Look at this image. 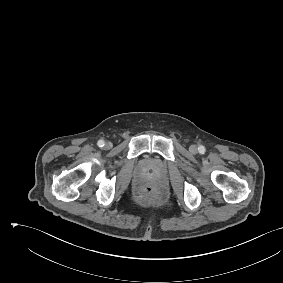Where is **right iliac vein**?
<instances>
[{
    "instance_id": "right-iliac-vein-1",
    "label": "right iliac vein",
    "mask_w": 283,
    "mask_h": 283,
    "mask_svg": "<svg viewBox=\"0 0 283 283\" xmlns=\"http://www.w3.org/2000/svg\"><path fill=\"white\" fill-rule=\"evenodd\" d=\"M105 147L107 149L111 148L112 147V143L111 142H106Z\"/></svg>"
}]
</instances>
